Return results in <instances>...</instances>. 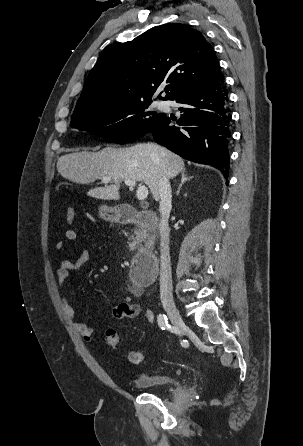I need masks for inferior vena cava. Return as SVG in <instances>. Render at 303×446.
<instances>
[{"mask_svg": "<svg viewBox=\"0 0 303 446\" xmlns=\"http://www.w3.org/2000/svg\"><path fill=\"white\" fill-rule=\"evenodd\" d=\"M159 197L161 221L159 232L161 237L160 256V299L162 302H172V274L169 252V225L168 218L172 208L171 186L167 177H162L159 181Z\"/></svg>", "mask_w": 303, "mask_h": 446, "instance_id": "obj_1", "label": "inferior vena cava"}]
</instances>
